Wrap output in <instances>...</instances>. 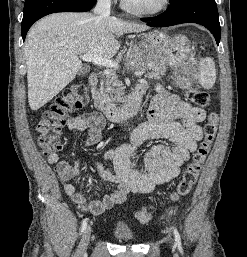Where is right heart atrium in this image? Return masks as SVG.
I'll list each match as a JSON object with an SVG mask.
<instances>
[{
  "mask_svg": "<svg viewBox=\"0 0 247 257\" xmlns=\"http://www.w3.org/2000/svg\"><path fill=\"white\" fill-rule=\"evenodd\" d=\"M104 1H106V2H110L111 0H104Z\"/></svg>",
  "mask_w": 247,
  "mask_h": 257,
  "instance_id": "d8ad5b80",
  "label": "right heart atrium"
}]
</instances>
